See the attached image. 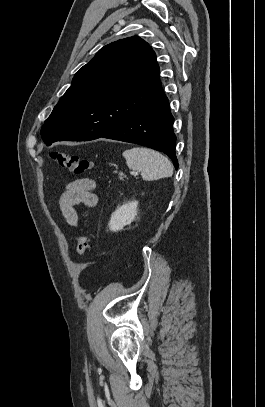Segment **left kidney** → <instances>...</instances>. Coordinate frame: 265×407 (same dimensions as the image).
I'll return each mask as SVG.
<instances>
[{
	"label": "left kidney",
	"instance_id": "obj_1",
	"mask_svg": "<svg viewBox=\"0 0 265 407\" xmlns=\"http://www.w3.org/2000/svg\"><path fill=\"white\" fill-rule=\"evenodd\" d=\"M138 202L131 201L118 207L111 215L109 229L113 232L121 231L124 226L130 225L137 215Z\"/></svg>",
	"mask_w": 265,
	"mask_h": 407
}]
</instances>
